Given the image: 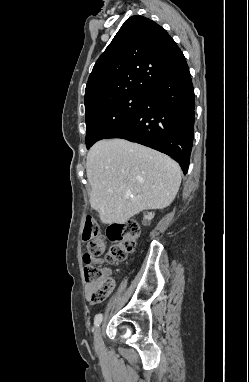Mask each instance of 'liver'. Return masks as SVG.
<instances>
[{"label": "liver", "mask_w": 249, "mask_h": 382, "mask_svg": "<svg viewBox=\"0 0 249 382\" xmlns=\"http://www.w3.org/2000/svg\"><path fill=\"white\" fill-rule=\"evenodd\" d=\"M90 204L104 224L126 223L148 209H164L181 184L177 162L125 139L101 140L87 154Z\"/></svg>", "instance_id": "obj_1"}]
</instances>
